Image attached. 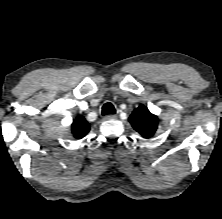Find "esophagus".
I'll return each instance as SVG.
<instances>
[{
	"label": "esophagus",
	"instance_id": "obj_1",
	"mask_svg": "<svg viewBox=\"0 0 222 219\" xmlns=\"http://www.w3.org/2000/svg\"><path fill=\"white\" fill-rule=\"evenodd\" d=\"M116 118H117V116L114 115V114H109V115H106L104 117L105 120H113V119H116Z\"/></svg>",
	"mask_w": 222,
	"mask_h": 219
}]
</instances>
